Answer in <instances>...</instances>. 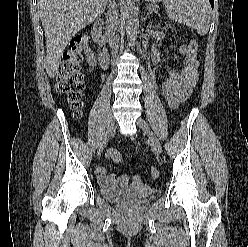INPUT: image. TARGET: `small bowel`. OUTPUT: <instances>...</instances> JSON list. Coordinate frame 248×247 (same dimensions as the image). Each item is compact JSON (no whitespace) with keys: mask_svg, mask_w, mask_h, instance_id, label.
<instances>
[{"mask_svg":"<svg viewBox=\"0 0 248 247\" xmlns=\"http://www.w3.org/2000/svg\"><path fill=\"white\" fill-rule=\"evenodd\" d=\"M179 51L184 60L187 62V65L180 73L176 71L169 72V77L174 78L177 83L176 95L170 103L172 107H176L179 103L186 100L190 96L192 88L195 86L198 77V61L196 57L191 56L189 46L182 45ZM153 61L154 63H158L160 61L158 51L154 52ZM97 176L102 185H115L122 187L126 186L129 182L128 175L123 174L120 176H115L109 174L103 166H99L97 168Z\"/></svg>","mask_w":248,"mask_h":247,"instance_id":"obj_1","label":"small bowel"}]
</instances>
